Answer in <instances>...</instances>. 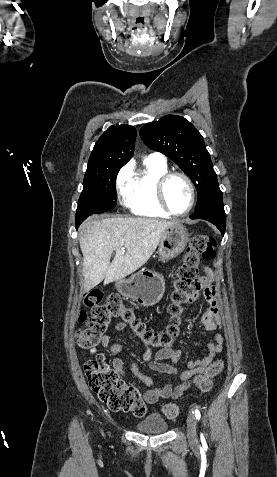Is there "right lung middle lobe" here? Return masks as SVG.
I'll list each match as a JSON object with an SVG mask.
<instances>
[{
    "instance_id": "1",
    "label": "right lung middle lobe",
    "mask_w": 277,
    "mask_h": 477,
    "mask_svg": "<svg viewBox=\"0 0 277 477\" xmlns=\"http://www.w3.org/2000/svg\"><path fill=\"white\" fill-rule=\"evenodd\" d=\"M121 167L85 173L83 191L76 210V228L94 213L112 210L116 206V176Z\"/></svg>"
}]
</instances>
